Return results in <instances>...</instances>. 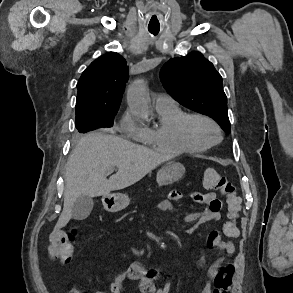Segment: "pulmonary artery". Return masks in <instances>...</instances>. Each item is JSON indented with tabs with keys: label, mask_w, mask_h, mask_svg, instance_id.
Here are the masks:
<instances>
[{
	"label": "pulmonary artery",
	"mask_w": 293,
	"mask_h": 293,
	"mask_svg": "<svg viewBox=\"0 0 293 293\" xmlns=\"http://www.w3.org/2000/svg\"><path fill=\"white\" fill-rule=\"evenodd\" d=\"M175 101L169 95L166 94H157L155 96V106L156 107H163L174 104Z\"/></svg>",
	"instance_id": "e3ab8cb5"
}]
</instances>
